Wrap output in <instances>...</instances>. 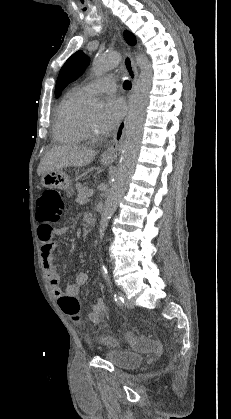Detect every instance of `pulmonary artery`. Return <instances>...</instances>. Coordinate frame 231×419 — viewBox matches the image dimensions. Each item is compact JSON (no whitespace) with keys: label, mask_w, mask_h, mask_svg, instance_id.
<instances>
[{"label":"pulmonary artery","mask_w":231,"mask_h":419,"mask_svg":"<svg viewBox=\"0 0 231 419\" xmlns=\"http://www.w3.org/2000/svg\"><path fill=\"white\" fill-rule=\"evenodd\" d=\"M117 78L113 75H106L94 82L87 83L80 87V90L86 94L94 93H112L116 90Z\"/></svg>","instance_id":"obj_1"}]
</instances>
